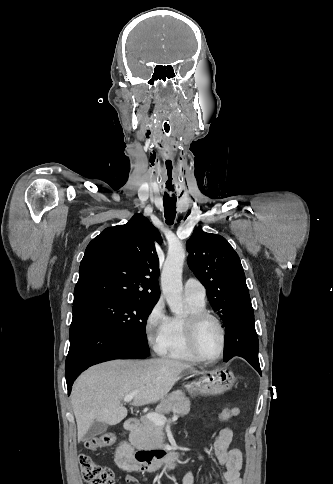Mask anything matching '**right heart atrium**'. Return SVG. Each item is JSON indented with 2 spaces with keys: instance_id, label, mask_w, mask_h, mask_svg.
<instances>
[{
  "instance_id": "1",
  "label": "right heart atrium",
  "mask_w": 333,
  "mask_h": 484,
  "mask_svg": "<svg viewBox=\"0 0 333 484\" xmlns=\"http://www.w3.org/2000/svg\"><path fill=\"white\" fill-rule=\"evenodd\" d=\"M167 321L168 316L165 312L164 303L159 299L151 307L144 320L146 340L156 351L161 349Z\"/></svg>"
}]
</instances>
